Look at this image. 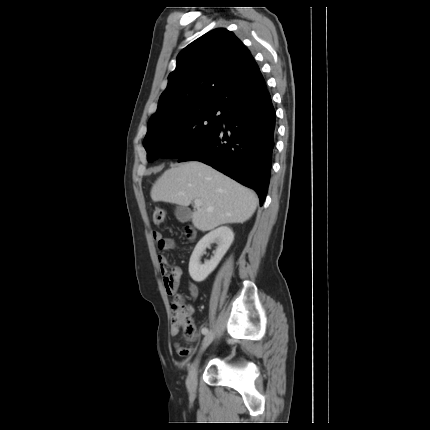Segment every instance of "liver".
<instances>
[{
	"label": "liver",
	"instance_id": "obj_1",
	"mask_svg": "<svg viewBox=\"0 0 430 430\" xmlns=\"http://www.w3.org/2000/svg\"><path fill=\"white\" fill-rule=\"evenodd\" d=\"M154 202L162 201L188 206L202 200L192 214L194 226L209 231L228 223H243L256 210L254 192L199 161H189L166 170L151 189Z\"/></svg>",
	"mask_w": 430,
	"mask_h": 430
}]
</instances>
